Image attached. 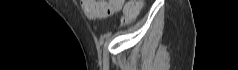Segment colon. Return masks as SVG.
Here are the masks:
<instances>
[{"label": "colon", "mask_w": 238, "mask_h": 70, "mask_svg": "<svg viewBox=\"0 0 238 70\" xmlns=\"http://www.w3.org/2000/svg\"><path fill=\"white\" fill-rule=\"evenodd\" d=\"M125 0H82L81 3H84L85 8L83 9L86 16L91 19L96 18H105L108 17L113 12H119V7L124 6ZM141 0H131L128 1L125 5V18L126 20L134 17L140 8L142 7Z\"/></svg>", "instance_id": "obj_1"}]
</instances>
